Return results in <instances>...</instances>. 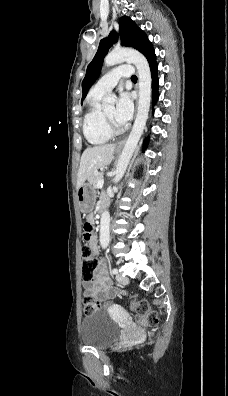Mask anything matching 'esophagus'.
I'll use <instances>...</instances> for the list:
<instances>
[{
    "instance_id": "obj_1",
    "label": "esophagus",
    "mask_w": 228,
    "mask_h": 396,
    "mask_svg": "<svg viewBox=\"0 0 228 396\" xmlns=\"http://www.w3.org/2000/svg\"><path fill=\"white\" fill-rule=\"evenodd\" d=\"M125 142H126V139L120 141V142L118 143V148H122V147L124 146Z\"/></svg>"
}]
</instances>
